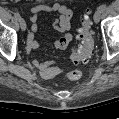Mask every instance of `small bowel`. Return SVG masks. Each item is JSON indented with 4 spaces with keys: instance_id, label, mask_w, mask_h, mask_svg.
I'll return each mask as SVG.
<instances>
[{
    "instance_id": "1",
    "label": "small bowel",
    "mask_w": 119,
    "mask_h": 119,
    "mask_svg": "<svg viewBox=\"0 0 119 119\" xmlns=\"http://www.w3.org/2000/svg\"><path fill=\"white\" fill-rule=\"evenodd\" d=\"M57 13V18L53 24L54 28L63 33V35L53 41V45L57 49H66L72 40V36L68 31L71 27L72 11L66 5L54 3L52 5L39 4L30 8V20L32 22L31 30L27 37V51L38 48L39 43L36 40L38 33V18L43 13ZM32 64L38 69L40 76L44 79H53L62 73V66L54 61L41 62L36 58H32Z\"/></svg>"
}]
</instances>
